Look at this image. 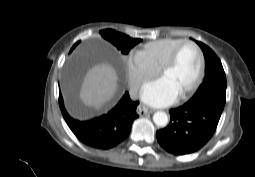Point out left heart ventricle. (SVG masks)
<instances>
[{
	"mask_svg": "<svg viewBox=\"0 0 255 177\" xmlns=\"http://www.w3.org/2000/svg\"><path fill=\"white\" fill-rule=\"evenodd\" d=\"M199 54L191 46H184L177 57L174 66L162 77L169 81L179 94L187 90L195 81L199 70Z\"/></svg>",
	"mask_w": 255,
	"mask_h": 177,
	"instance_id": "b2bd125f",
	"label": "left heart ventricle"
}]
</instances>
